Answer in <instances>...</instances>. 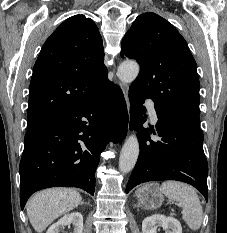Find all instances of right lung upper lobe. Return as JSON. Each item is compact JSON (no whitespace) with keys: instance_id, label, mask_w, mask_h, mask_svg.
<instances>
[{"instance_id":"cb5924a9","label":"right lung upper lobe","mask_w":227,"mask_h":233,"mask_svg":"<svg viewBox=\"0 0 227 233\" xmlns=\"http://www.w3.org/2000/svg\"><path fill=\"white\" fill-rule=\"evenodd\" d=\"M108 85L97 26L84 15L68 18L46 40L34 65L27 130L88 102Z\"/></svg>"}]
</instances>
